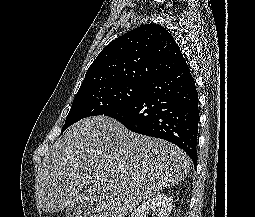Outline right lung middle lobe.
I'll list each match as a JSON object with an SVG mask.
<instances>
[{"instance_id": "obj_1", "label": "right lung middle lobe", "mask_w": 255, "mask_h": 217, "mask_svg": "<svg viewBox=\"0 0 255 217\" xmlns=\"http://www.w3.org/2000/svg\"><path fill=\"white\" fill-rule=\"evenodd\" d=\"M146 87L147 85L139 84H115L77 92L61 132L83 118L104 115L127 106L137 99Z\"/></svg>"}]
</instances>
